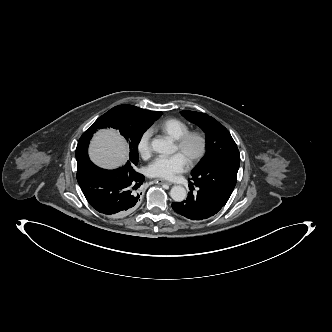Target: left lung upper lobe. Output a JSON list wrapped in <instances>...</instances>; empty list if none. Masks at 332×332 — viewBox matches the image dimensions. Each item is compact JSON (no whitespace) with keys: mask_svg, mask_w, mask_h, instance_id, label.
I'll list each match as a JSON object with an SVG mask.
<instances>
[{"mask_svg":"<svg viewBox=\"0 0 332 332\" xmlns=\"http://www.w3.org/2000/svg\"><path fill=\"white\" fill-rule=\"evenodd\" d=\"M187 120L206 134L207 151L192 170V184L207 189L228 201L237 181L240 154L229 131L205 113L181 111Z\"/></svg>","mask_w":332,"mask_h":332,"instance_id":"obj_1","label":"left lung upper lobe"}]
</instances>
